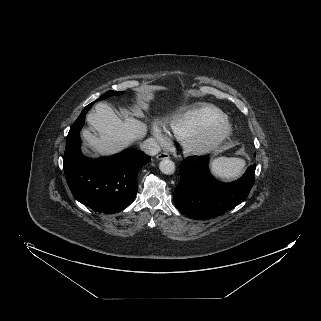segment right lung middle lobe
<instances>
[{
    "label": "right lung middle lobe",
    "mask_w": 321,
    "mask_h": 321,
    "mask_svg": "<svg viewBox=\"0 0 321 321\" xmlns=\"http://www.w3.org/2000/svg\"><path fill=\"white\" fill-rule=\"evenodd\" d=\"M122 93H123V91H108L104 95L100 96L96 101L103 100V99H106V98H108L110 96H114V95H121ZM95 102H92L91 104H93Z\"/></svg>",
    "instance_id": "1"
}]
</instances>
